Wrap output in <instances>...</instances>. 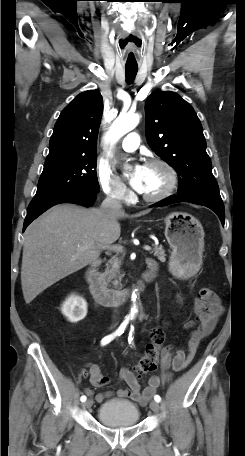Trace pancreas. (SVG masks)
<instances>
[{"mask_svg":"<svg viewBox=\"0 0 245 456\" xmlns=\"http://www.w3.org/2000/svg\"><path fill=\"white\" fill-rule=\"evenodd\" d=\"M152 253L161 262H165L166 261L165 251H164V249H163V247L161 245L160 246L154 245V249H153ZM109 264H110L111 268L109 269V267H107V269H106V271L104 273V277H107L108 281H110L111 279L116 278L117 275L120 274L119 268H120L121 261H120V259L118 257L114 256L109 261ZM119 278H121V276H119ZM118 283H119L118 280H115L113 282V284L115 286H117Z\"/></svg>","mask_w":245,"mask_h":456,"instance_id":"1","label":"pancreas"}]
</instances>
